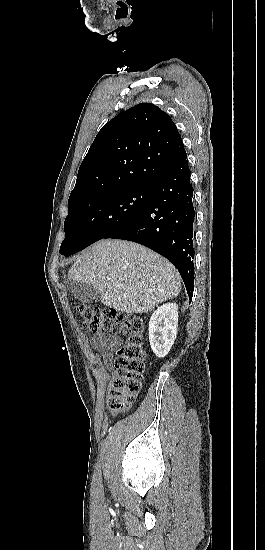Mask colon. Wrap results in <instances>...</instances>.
Returning a JSON list of instances; mask_svg holds the SVG:
<instances>
[{"instance_id":"5ec220e1","label":"colon","mask_w":265,"mask_h":550,"mask_svg":"<svg viewBox=\"0 0 265 550\" xmlns=\"http://www.w3.org/2000/svg\"><path fill=\"white\" fill-rule=\"evenodd\" d=\"M77 311L85 329L126 337L124 344L116 351L117 377L112 383L108 406L114 414L128 411L140 391L144 371V319L136 314L87 305H79Z\"/></svg>"}]
</instances>
